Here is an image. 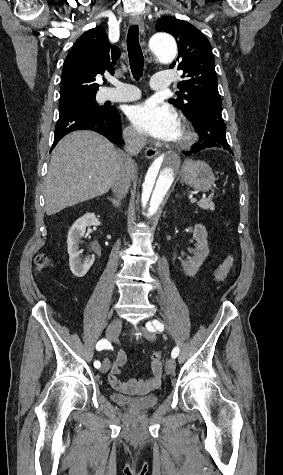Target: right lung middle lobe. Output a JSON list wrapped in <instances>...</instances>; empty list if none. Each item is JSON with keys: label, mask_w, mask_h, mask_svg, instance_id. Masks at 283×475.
I'll list each match as a JSON object with an SVG mask.
<instances>
[{"label": "right lung middle lobe", "mask_w": 283, "mask_h": 475, "mask_svg": "<svg viewBox=\"0 0 283 475\" xmlns=\"http://www.w3.org/2000/svg\"><path fill=\"white\" fill-rule=\"evenodd\" d=\"M96 93L80 90L60 91L59 109L68 108L75 105L89 107L97 112L103 113L106 107L98 106L95 101Z\"/></svg>", "instance_id": "dd1d6c3e"}]
</instances>
